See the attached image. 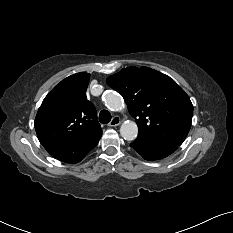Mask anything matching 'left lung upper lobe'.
Wrapping results in <instances>:
<instances>
[{"label": "left lung upper lobe", "mask_w": 233, "mask_h": 233, "mask_svg": "<svg viewBox=\"0 0 233 233\" xmlns=\"http://www.w3.org/2000/svg\"><path fill=\"white\" fill-rule=\"evenodd\" d=\"M106 81L123 96L130 114L136 118L138 137L183 143L191 127L193 106L173 79L145 66H133Z\"/></svg>", "instance_id": "obj_1"}]
</instances>
